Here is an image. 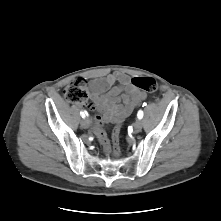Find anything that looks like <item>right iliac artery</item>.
<instances>
[{
    "label": "right iliac artery",
    "instance_id": "right-iliac-artery-1",
    "mask_svg": "<svg viewBox=\"0 0 221 221\" xmlns=\"http://www.w3.org/2000/svg\"><path fill=\"white\" fill-rule=\"evenodd\" d=\"M80 114H81L82 118H85L88 115L87 112H81Z\"/></svg>",
    "mask_w": 221,
    "mask_h": 221
}]
</instances>
